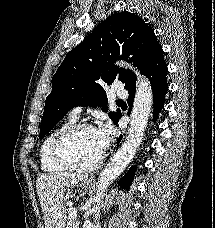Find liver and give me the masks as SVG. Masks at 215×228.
<instances>
[{
	"label": "liver",
	"instance_id": "1",
	"mask_svg": "<svg viewBox=\"0 0 215 228\" xmlns=\"http://www.w3.org/2000/svg\"><path fill=\"white\" fill-rule=\"evenodd\" d=\"M82 174H41L36 180V190L46 228H65L66 188L83 180Z\"/></svg>",
	"mask_w": 215,
	"mask_h": 228
}]
</instances>
